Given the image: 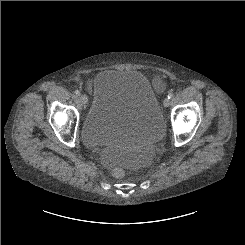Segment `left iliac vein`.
<instances>
[{"label": "left iliac vein", "mask_w": 245, "mask_h": 245, "mask_svg": "<svg viewBox=\"0 0 245 245\" xmlns=\"http://www.w3.org/2000/svg\"><path fill=\"white\" fill-rule=\"evenodd\" d=\"M163 105H164L165 107H169V105H170V100H169L168 98H166V99L164 100V102H163Z\"/></svg>", "instance_id": "4c4485c4"}]
</instances>
